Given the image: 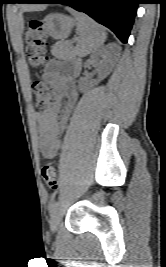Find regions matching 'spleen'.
<instances>
[{"label": "spleen", "mask_w": 166, "mask_h": 267, "mask_svg": "<svg viewBox=\"0 0 166 267\" xmlns=\"http://www.w3.org/2000/svg\"><path fill=\"white\" fill-rule=\"evenodd\" d=\"M68 11L77 20L79 39L74 53L79 57H84L95 52L107 38L104 28L84 13L70 8Z\"/></svg>", "instance_id": "1"}]
</instances>
